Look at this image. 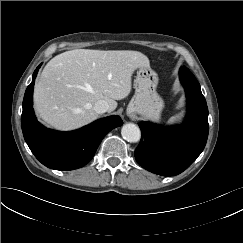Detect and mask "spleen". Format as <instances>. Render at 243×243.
Segmentation results:
<instances>
[{"label":"spleen","mask_w":243,"mask_h":243,"mask_svg":"<svg viewBox=\"0 0 243 243\" xmlns=\"http://www.w3.org/2000/svg\"><path fill=\"white\" fill-rule=\"evenodd\" d=\"M180 119H181L180 114H176V115L172 116V117L169 119L168 123H169V124H173V123H176V122L180 121Z\"/></svg>","instance_id":"1"}]
</instances>
